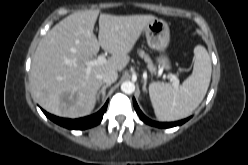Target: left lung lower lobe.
<instances>
[{
  "mask_svg": "<svg viewBox=\"0 0 248 165\" xmlns=\"http://www.w3.org/2000/svg\"><path fill=\"white\" fill-rule=\"evenodd\" d=\"M133 104H134V107H135V110L137 112V114L139 115V117L141 118L142 121H144L145 123L149 124V125H152V126H156V127H159V128H170V127H174V126H178V125H181L183 123H185L189 118L187 119H184V120H181V121H178V122H171V123H161V122H155V121H152L150 119H148L142 112L141 110L139 109L135 99L133 98Z\"/></svg>",
  "mask_w": 248,
  "mask_h": 165,
  "instance_id": "0a47b994",
  "label": "left lung lower lobe"
}]
</instances>
